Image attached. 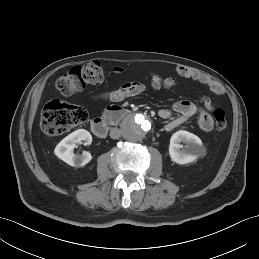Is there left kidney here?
<instances>
[{"label": "left kidney", "mask_w": 259, "mask_h": 259, "mask_svg": "<svg viewBox=\"0 0 259 259\" xmlns=\"http://www.w3.org/2000/svg\"><path fill=\"white\" fill-rule=\"evenodd\" d=\"M181 142L186 143L182 149ZM202 147L201 139L184 130L175 132L170 139L169 155L171 160L177 164H188L194 162L200 155Z\"/></svg>", "instance_id": "left-kidney-1"}]
</instances>
